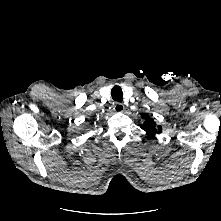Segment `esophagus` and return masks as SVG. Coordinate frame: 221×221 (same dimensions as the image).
Returning <instances> with one entry per match:
<instances>
[{"label":"esophagus","instance_id":"esophagus-1","mask_svg":"<svg viewBox=\"0 0 221 221\" xmlns=\"http://www.w3.org/2000/svg\"><path fill=\"white\" fill-rule=\"evenodd\" d=\"M113 110L116 112V113H121L125 110V106L122 104V103H116L113 107Z\"/></svg>","mask_w":221,"mask_h":221}]
</instances>
